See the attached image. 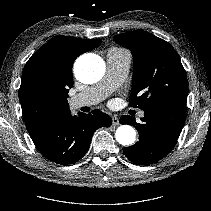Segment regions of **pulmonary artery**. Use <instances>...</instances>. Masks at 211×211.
<instances>
[{"label":"pulmonary artery","mask_w":211,"mask_h":211,"mask_svg":"<svg viewBox=\"0 0 211 211\" xmlns=\"http://www.w3.org/2000/svg\"><path fill=\"white\" fill-rule=\"evenodd\" d=\"M106 64V74L101 82L70 98L69 103L72 108L91 106L103 101L126 79L130 69L131 56L128 52L112 48L107 52ZM139 116L143 117L144 112L141 111Z\"/></svg>","instance_id":"obj_1"}]
</instances>
